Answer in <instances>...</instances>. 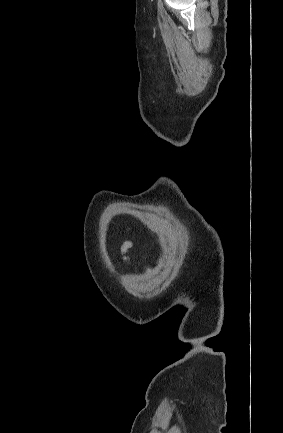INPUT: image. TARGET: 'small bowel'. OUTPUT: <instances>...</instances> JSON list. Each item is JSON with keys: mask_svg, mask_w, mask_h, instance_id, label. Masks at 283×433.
Here are the masks:
<instances>
[{"mask_svg": "<svg viewBox=\"0 0 283 433\" xmlns=\"http://www.w3.org/2000/svg\"><path fill=\"white\" fill-rule=\"evenodd\" d=\"M131 247H132V242L130 241L124 242L123 245L121 246V253L125 259H130L129 251Z\"/></svg>", "mask_w": 283, "mask_h": 433, "instance_id": "obj_1", "label": "small bowel"}]
</instances>
